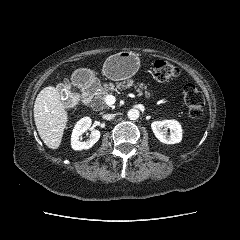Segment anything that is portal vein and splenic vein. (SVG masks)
<instances>
[{"label": "portal vein and splenic vein", "instance_id": "portal-vein-and-splenic-vein-1", "mask_svg": "<svg viewBox=\"0 0 240 240\" xmlns=\"http://www.w3.org/2000/svg\"><path fill=\"white\" fill-rule=\"evenodd\" d=\"M116 102V98L113 95H108L105 98V103L109 106L113 105Z\"/></svg>", "mask_w": 240, "mask_h": 240}]
</instances>
